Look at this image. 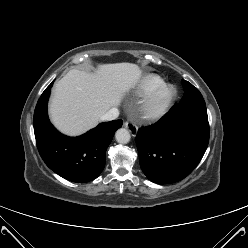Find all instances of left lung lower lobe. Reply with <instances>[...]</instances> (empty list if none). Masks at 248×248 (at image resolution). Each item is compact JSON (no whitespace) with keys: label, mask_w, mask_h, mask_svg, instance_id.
<instances>
[{"label":"left lung lower lobe","mask_w":248,"mask_h":248,"mask_svg":"<svg viewBox=\"0 0 248 248\" xmlns=\"http://www.w3.org/2000/svg\"><path fill=\"white\" fill-rule=\"evenodd\" d=\"M209 142L204 99L174 105L158 122L139 128L136 144L140 166L149 180L168 184L188 176Z\"/></svg>","instance_id":"left-lung-lower-lobe-1"}]
</instances>
